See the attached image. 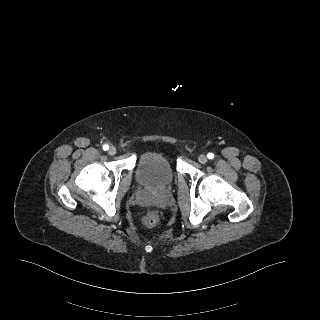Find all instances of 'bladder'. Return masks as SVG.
Here are the masks:
<instances>
[{"mask_svg": "<svg viewBox=\"0 0 320 320\" xmlns=\"http://www.w3.org/2000/svg\"><path fill=\"white\" fill-rule=\"evenodd\" d=\"M136 178L144 187L163 189L174 180V170L169 159L156 151L145 152L139 159Z\"/></svg>", "mask_w": 320, "mask_h": 320, "instance_id": "31cf9c89", "label": "bladder"}]
</instances>
